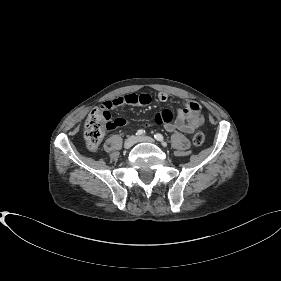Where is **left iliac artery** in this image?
I'll list each match as a JSON object with an SVG mask.
<instances>
[{"label": "left iliac artery", "instance_id": "obj_1", "mask_svg": "<svg viewBox=\"0 0 281 281\" xmlns=\"http://www.w3.org/2000/svg\"><path fill=\"white\" fill-rule=\"evenodd\" d=\"M154 138H155L157 141H159V142H162V141L164 140L163 135L160 134V133H156V134L154 135Z\"/></svg>", "mask_w": 281, "mask_h": 281}]
</instances>
